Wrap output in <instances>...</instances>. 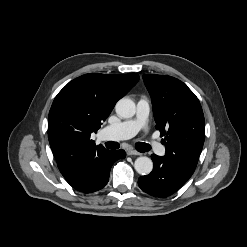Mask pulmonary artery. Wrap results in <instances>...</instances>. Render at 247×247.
Wrapping results in <instances>:
<instances>
[{"label": "pulmonary artery", "mask_w": 247, "mask_h": 247, "mask_svg": "<svg viewBox=\"0 0 247 247\" xmlns=\"http://www.w3.org/2000/svg\"><path fill=\"white\" fill-rule=\"evenodd\" d=\"M150 112V104L146 98H141L137 102L136 115L133 119L109 125L102 131L104 137L111 140H124L133 137L141 130L147 122ZM152 147L159 155L165 153V148L158 142H152Z\"/></svg>", "instance_id": "pulmonary-artery-1"}]
</instances>
